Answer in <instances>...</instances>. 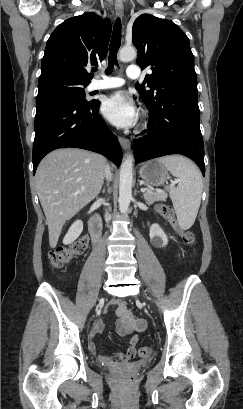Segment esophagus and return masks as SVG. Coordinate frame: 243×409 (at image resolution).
<instances>
[{
	"label": "esophagus",
	"mask_w": 243,
	"mask_h": 409,
	"mask_svg": "<svg viewBox=\"0 0 243 409\" xmlns=\"http://www.w3.org/2000/svg\"><path fill=\"white\" fill-rule=\"evenodd\" d=\"M115 13L116 15L122 20L123 16H124V7H123V3L121 1L116 2L115 4ZM119 142L120 145L122 146V148L124 150H129L131 143L128 139L124 138V137H119Z\"/></svg>",
	"instance_id": "obj_1"
}]
</instances>
